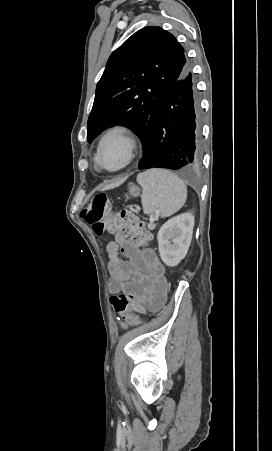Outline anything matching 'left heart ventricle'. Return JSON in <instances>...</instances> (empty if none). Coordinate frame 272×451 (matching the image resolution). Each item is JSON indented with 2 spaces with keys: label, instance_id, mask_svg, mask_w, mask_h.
<instances>
[{
  "label": "left heart ventricle",
  "instance_id": "1",
  "mask_svg": "<svg viewBox=\"0 0 272 451\" xmlns=\"http://www.w3.org/2000/svg\"><path fill=\"white\" fill-rule=\"evenodd\" d=\"M126 161V151L124 146L116 141L110 140L102 149L100 154V164L108 170L119 169Z\"/></svg>",
  "mask_w": 272,
  "mask_h": 451
}]
</instances>
